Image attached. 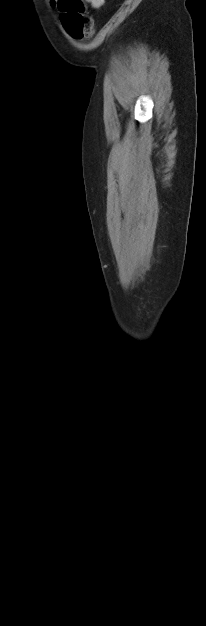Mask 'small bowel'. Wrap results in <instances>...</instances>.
I'll return each mask as SVG.
<instances>
[{
	"label": "small bowel",
	"mask_w": 206,
	"mask_h": 626,
	"mask_svg": "<svg viewBox=\"0 0 206 626\" xmlns=\"http://www.w3.org/2000/svg\"><path fill=\"white\" fill-rule=\"evenodd\" d=\"M86 2H88L93 8H100L105 0H85ZM58 0H51V4L52 6H57Z\"/></svg>",
	"instance_id": "c3829d8e"
}]
</instances>
